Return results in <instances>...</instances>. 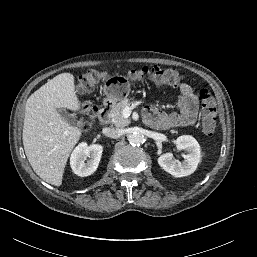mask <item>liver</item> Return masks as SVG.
Instances as JSON below:
<instances>
[{"label": "liver", "mask_w": 257, "mask_h": 257, "mask_svg": "<svg viewBox=\"0 0 257 257\" xmlns=\"http://www.w3.org/2000/svg\"><path fill=\"white\" fill-rule=\"evenodd\" d=\"M59 108L80 109L74 76L62 73L28 98L25 106L23 145L35 173L54 186L62 184L64 169L82 131L61 118Z\"/></svg>", "instance_id": "liver-1"}]
</instances>
